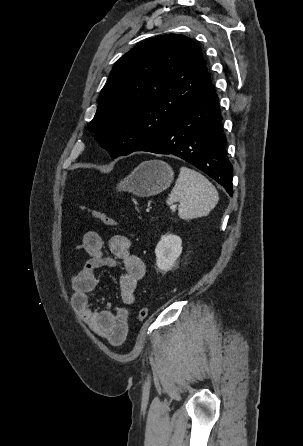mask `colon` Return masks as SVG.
<instances>
[{
    "label": "colon",
    "mask_w": 303,
    "mask_h": 446,
    "mask_svg": "<svg viewBox=\"0 0 303 446\" xmlns=\"http://www.w3.org/2000/svg\"><path fill=\"white\" fill-rule=\"evenodd\" d=\"M81 210L88 212L89 214H91V216L100 220L104 225L108 227L114 228L118 226V222L113 217H111L109 214H107L102 210L93 209L87 206H81ZM148 314H149L148 308L143 307L139 310L137 318L139 321H144L147 318Z\"/></svg>",
    "instance_id": "colon-1"
}]
</instances>
